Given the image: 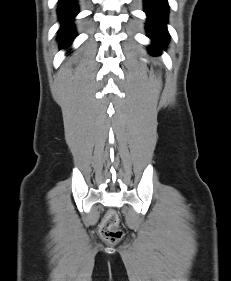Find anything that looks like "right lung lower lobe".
<instances>
[{
	"instance_id": "right-lung-lower-lobe-1",
	"label": "right lung lower lobe",
	"mask_w": 231,
	"mask_h": 281,
	"mask_svg": "<svg viewBox=\"0 0 231 281\" xmlns=\"http://www.w3.org/2000/svg\"><path fill=\"white\" fill-rule=\"evenodd\" d=\"M78 13L76 0H59L58 15L62 22L59 32L60 49L68 47L76 37L72 19Z\"/></svg>"
}]
</instances>
